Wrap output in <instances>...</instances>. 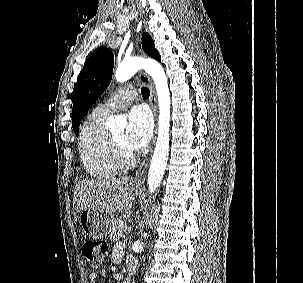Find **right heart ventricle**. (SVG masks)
<instances>
[{
	"label": "right heart ventricle",
	"mask_w": 303,
	"mask_h": 283,
	"mask_svg": "<svg viewBox=\"0 0 303 283\" xmlns=\"http://www.w3.org/2000/svg\"><path fill=\"white\" fill-rule=\"evenodd\" d=\"M108 114L97 107L82 124L79 151L86 172L96 179L114 177L120 168L116 164L104 124Z\"/></svg>",
	"instance_id": "e07e8e85"
}]
</instances>
